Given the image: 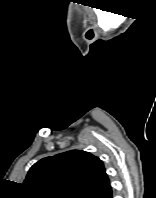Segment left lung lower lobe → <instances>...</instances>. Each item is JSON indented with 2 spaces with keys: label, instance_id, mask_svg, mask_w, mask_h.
Masks as SVG:
<instances>
[{
  "label": "left lung lower lobe",
  "instance_id": "obj_1",
  "mask_svg": "<svg viewBox=\"0 0 156 198\" xmlns=\"http://www.w3.org/2000/svg\"><path fill=\"white\" fill-rule=\"evenodd\" d=\"M94 198H113L111 185L109 184L103 191L94 196Z\"/></svg>",
  "mask_w": 156,
  "mask_h": 198
}]
</instances>
